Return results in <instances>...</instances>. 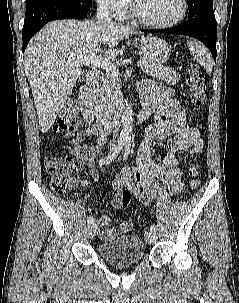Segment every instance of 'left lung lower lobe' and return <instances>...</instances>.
<instances>
[{"label":"left lung lower lobe","mask_w":239,"mask_h":303,"mask_svg":"<svg viewBox=\"0 0 239 303\" xmlns=\"http://www.w3.org/2000/svg\"><path fill=\"white\" fill-rule=\"evenodd\" d=\"M216 30H217V24H216L215 15L214 12H211V13L198 14L177 27L160 29V30H141V31L186 35L196 38L201 42H203L205 46L208 47L213 58L216 60V56H217Z\"/></svg>","instance_id":"1"}]
</instances>
